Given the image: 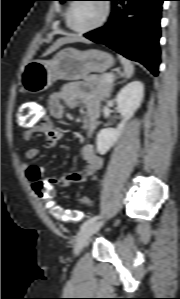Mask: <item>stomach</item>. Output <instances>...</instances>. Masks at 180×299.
Segmentation results:
<instances>
[{
	"mask_svg": "<svg viewBox=\"0 0 180 299\" xmlns=\"http://www.w3.org/2000/svg\"><path fill=\"white\" fill-rule=\"evenodd\" d=\"M114 59L107 52L89 49L80 51L65 48L51 60H31L24 65L20 74L23 92L40 93L47 90L56 80L84 79L89 73H104L112 67Z\"/></svg>",
	"mask_w": 180,
	"mask_h": 299,
	"instance_id": "stomach-1",
	"label": "stomach"
}]
</instances>
